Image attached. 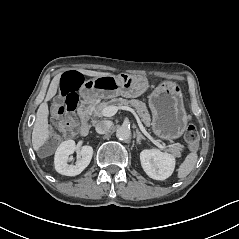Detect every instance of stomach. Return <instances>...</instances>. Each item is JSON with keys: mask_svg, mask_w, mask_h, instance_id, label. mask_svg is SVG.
<instances>
[{"mask_svg": "<svg viewBox=\"0 0 239 239\" xmlns=\"http://www.w3.org/2000/svg\"><path fill=\"white\" fill-rule=\"evenodd\" d=\"M148 86V80L144 76L121 73L89 79L82 84L79 93L84 100L91 102L117 96L136 98ZM148 99L154 134L165 140L180 137L188 124L181 87L175 82L165 81L154 89Z\"/></svg>", "mask_w": 239, "mask_h": 239, "instance_id": "obj_1", "label": "stomach"}]
</instances>
